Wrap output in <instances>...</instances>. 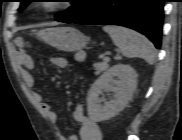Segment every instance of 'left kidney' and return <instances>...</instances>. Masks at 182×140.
<instances>
[{
    "instance_id": "1",
    "label": "left kidney",
    "mask_w": 182,
    "mask_h": 140,
    "mask_svg": "<svg viewBox=\"0 0 182 140\" xmlns=\"http://www.w3.org/2000/svg\"><path fill=\"white\" fill-rule=\"evenodd\" d=\"M116 78V79H114ZM138 75L125 64H117L104 72L91 86L87 96V111L91 120L101 122L116 116L131 100ZM113 92L114 99L100 105L99 95Z\"/></svg>"
}]
</instances>
